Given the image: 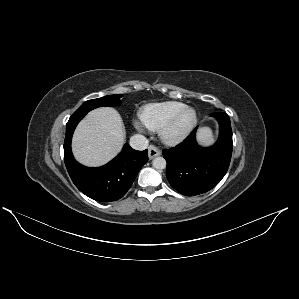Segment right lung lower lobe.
I'll return each mask as SVG.
<instances>
[{"instance_id":"98d812e1","label":"right lung lower lobe","mask_w":299,"mask_h":299,"mask_svg":"<svg viewBox=\"0 0 299 299\" xmlns=\"http://www.w3.org/2000/svg\"><path fill=\"white\" fill-rule=\"evenodd\" d=\"M87 113H74L67 122L64 161L75 186L86 196L101 202L120 199L129 190L139 170L148 161L147 150L137 151L125 144L122 152L104 166L79 164L71 151V139L79 121Z\"/></svg>"}]
</instances>
